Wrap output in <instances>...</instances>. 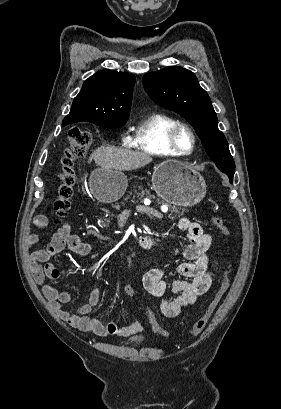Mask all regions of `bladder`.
<instances>
[{"instance_id":"1","label":"bladder","mask_w":281,"mask_h":409,"mask_svg":"<svg viewBox=\"0 0 281 409\" xmlns=\"http://www.w3.org/2000/svg\"><path fill=\"white\" fill-rule=\"evenodd\" d=\"M126 341H128V343L137 348V347H141V346H146L149 344L150 338L148 336V334H140L137 336H132L126 339Z\"/></svg>"}]
</instances>
